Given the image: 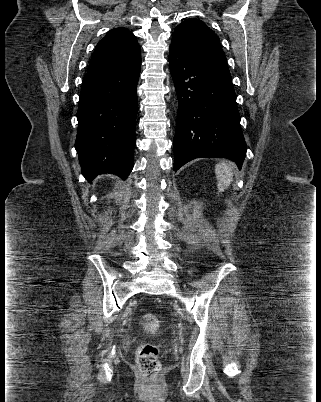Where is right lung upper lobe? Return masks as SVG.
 <instances>
[{
    "mask_svg": "<svg viewBox=\"0 0 321 402\" xmlns=\"http://www.w3.org/2000/svg\"><path fill=\"white\" fill-rule=\"evenodd\" d=\"M141 66L140 46L126 28H114L97 44L88 72L129 70Z\"/></svg>",
    "mask_w": 321,
    "mask_h": 402,
    "instance_id": "right-lung-upper-lobe-1",
    "label": "right lung upper lobe"
}]
</instances>
